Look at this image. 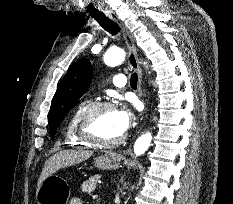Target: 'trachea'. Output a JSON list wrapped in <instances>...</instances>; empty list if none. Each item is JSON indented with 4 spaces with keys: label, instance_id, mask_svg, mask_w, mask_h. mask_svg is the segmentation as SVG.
<instances>
[{
    "label": "trachea",
    "instance_id": "trachea-1",
    "mask_svg": "<svg viewBox=\"0 0 233 204\" xmlns=\"http://www.w3.org/2000/svg\"><path fill=\"white\" fill-rule=\"evenodd\" d=\"M90 15L100 24L101 27H103L110 34L116 35L118 34V32H120L119 26L108 17H106L103 13L95 12L90 13ZM137 78V73L131 75L130 85L132 88L137 87Z\"/></svg>",
    "mask_w": 233,
    "mask_h": 204
}]
</instances>
